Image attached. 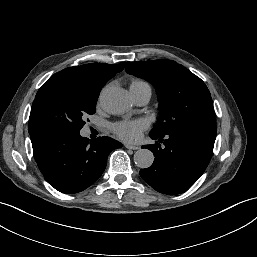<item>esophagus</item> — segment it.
<instances>
[{"label":"esophagus","mask_w":257,"mask_h":257,"mask_svg":"<svg viewBox=\"0 0 257 257\" xmlns=\"http://www.w3.org/2000/svg\"><path fill=\"white\" fill-rule=\"evenodd\" d=\"M125 147L127 149H131V150H138L139 149V146L130 145V144H125Z\"/></svg>","instance_id":"1"}]
</instances>
